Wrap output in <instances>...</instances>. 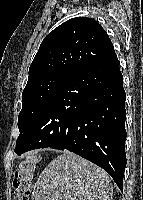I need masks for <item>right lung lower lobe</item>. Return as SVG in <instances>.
Masks as SVG:
<instances>
[{"label":"right lung lower lobe","mask_w":143,"mask_h":200,"mask_svg":"<svg viewBox=\"0 0 143 200\" xmlns=\"http://www.w3.org/2000/svg\"><path fill=\"white\" fill-rule=\"evenodd\" d=\"M125 100L114 51L70 75L38 114L16 153L67 149L103 168L123 191Z\"/></svg>","instance_id":"right-lung-lower-lobe-1"}]
</instances>
